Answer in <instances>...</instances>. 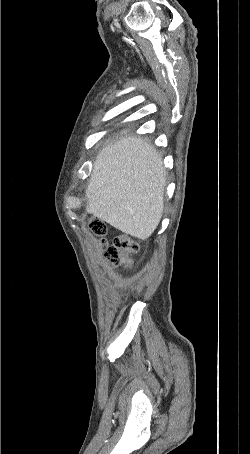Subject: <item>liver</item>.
Returning a JSON list of instances; mask_svg holds the SVG:
<instances>
[{"label": "liver", "mask_w": 250, "mask_h": 454, "mask_svg": "<svg viewBox=\"0 0 250 454\" xmlns=\"http://www.w3.org/2000/svg\"><path fill=\"white\" fill-rule=\"evenodd\" d=\"M166 171L156 149L140 137L105 144L86 189V212L141 240H147L164 210Z\"/></svg>", "instance_id": "6515ba94"}]
</instances>
